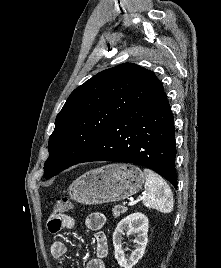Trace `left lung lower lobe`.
Segmentation results:
<instances>
[{
	"label": "left lung lower lobe",
	"instance_id": "left-lung-lower-lobe-1",
	"mask_svg": "<svg viewBox=\"0 0 221 268\" xmlns=\"http://www.w3.org/2000/svg\"><path fill=\"white\" fill-rule=\"evenodd\" d=\"M174 118L164 92L118 117L79 163L114 161L146 166L177 188Z\"/></svg>",
	"mask_w": 221,
	"mask_h": 268
}]
</instances>
